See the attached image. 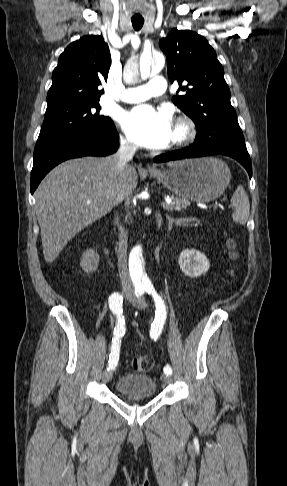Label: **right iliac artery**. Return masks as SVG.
<instances>
[{"label": "right iliac artery", "instance_id": "1", "mask_svg": "<svg viewBox=\"0 0 287 486\" xmlns=\"http://www.w3.org/2000/svg\"><path fill=\"white\" fill-rule=\"evenodd\" d=\"M145 288L144 287H137L135 290V294L137 296H141L144 294ZM123 297L118 292H114L109 297V307L110 310L117 316V324L114 329V337L112 339V347L111 353L108 362L107 370H113L119 360V352H120V339L125 334V320L124 316H122L123 308Z\"/></svg>", "mask_w": 287, "mask_h": 486}]
</instances>
